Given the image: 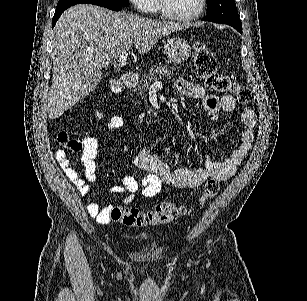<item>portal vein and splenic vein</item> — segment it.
Segmentation results:
<instances>
[{
  "mask_svg": "<svg viewBox=\"0 0 307 301\" xmlns=\"http://www.w3.org/2000/svg\"><path fill=\"white\" fill-rule=\"evenodd\" d=\"M128 54L129 52H122V54H119V62H121V64H125L128 58ZM158 84H159L158 80H155V82H153L151 86H158Z\"/></svg>",
  "mask_w": 307,
  "mask_h": 301,
  "instance_id": "1",
  "label": "portal vein and splenic vein"
}]
</instances>
